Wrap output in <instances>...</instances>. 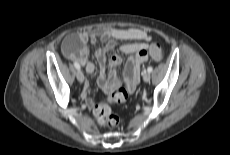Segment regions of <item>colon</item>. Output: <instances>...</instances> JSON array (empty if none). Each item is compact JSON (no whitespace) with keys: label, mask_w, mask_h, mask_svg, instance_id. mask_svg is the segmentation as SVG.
I'll return each instance as SVG.
<instances>
[{"label":"colon","mask_w":230,"mask_h":155,"mask_svg":"<svg viewBox=\"0 0 230 155\" xmlns=\"http://www.w3.org/2000/svg\"><path fill=\"white\" fill-rule=\"evenodd\" d=\"M73 46L79 47L80 41L74 40ZM150 55L153 60L155 61H161L163 58V51H162V45L159 43H153L150 48ZM94 117L96 121L102 125L106 126L108 128H115L119 125L120 120L119 118L111 113V109L108 103H99L94 108Z\"/></svg>","instance_id":"obj_1"}]
</instances>
